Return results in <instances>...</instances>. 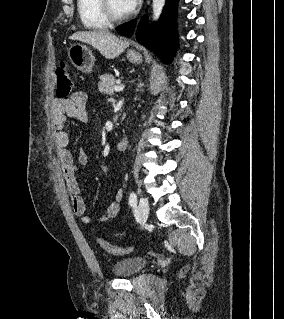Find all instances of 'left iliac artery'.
I'll list each match as a JSON object with an SVG mask.
<instances>
[{"instance_id":"left-iliac-artery-1","label":"left iliac artery","mask_w":284,"mask_h":319,"mask_svg":"<svg viewBox=\"0 0 284 319\" xmlns=\"http://www.w3.org/2000/svg\"><path fill=\"white\" fill-rule=\"evenodd\" d=\"M136 202H137V196L134 192H131L129 196V204L132 206V205H135Z\"/></svg>"}]
</instances>
